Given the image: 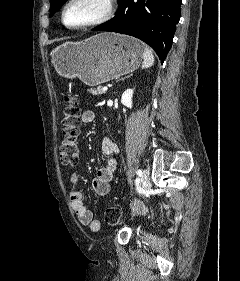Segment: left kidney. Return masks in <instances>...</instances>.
<instances>
[{"mask_svg":"<svg viewBox=\"0 0 240 281\" xmlns=\"http://www.w3.org/2000/svg\"><path fill=\"white\" fill-rule=\"evenodd\" d=\"M132 98H133V89H127L122 94L121 103L128 108H132Z\"/></svg>","mask_w":240,"mask_h":281,"instance_id":"left-kidney-1","label":"left kidney"}]
</instances>
